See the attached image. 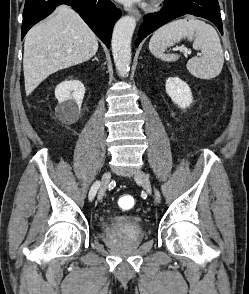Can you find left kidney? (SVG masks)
Returning a JSON list of instances; mask_svg holds the SVG:
<instances>
[{
    "mask_svg": "<svg viewBox=\"0 0 249 294\" xmlns=\"http://www.w3.org/2000/svg\"><path fill=\"white\" fill-rule=\"evenodd\" d=\"M166 93L180 108L189 107L193 102L192 92L188 84L178 77H169L166 80Z\"/></svg>",
    "mask_w": 249,
    "mask_h": 294,
    "instance_id": "left-kidney-1",
    "label": "left kidney"
}]
</instances>
